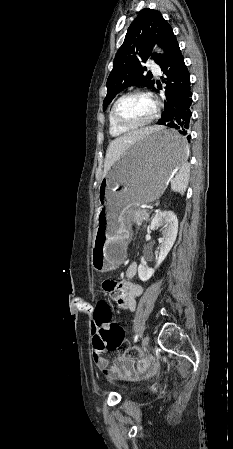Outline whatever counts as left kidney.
<instances>
[{
	"instance_id": "5707ae66",
	"label": "left kidney",
	"mask_w": 233,
	"mask_h": 449,
	"mask_svg": "<svg viewBox=\"0 0 233 449\" xmlns=\"http://www.w3.org/2000/svg\"><path fill=\"white\" fill-rule=\"evenodd\" d=\"M158 227H162V241L159 256L156 258L155 268L152 269L143 264H140L138 267V276L143 282L153 276L155 269L164 261L176 240L178 232V219L176 215L171 211L157 213L151 221L150 228L155 230Z\"/></svg>"
}]
</instances>
